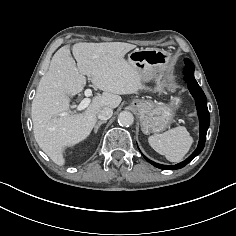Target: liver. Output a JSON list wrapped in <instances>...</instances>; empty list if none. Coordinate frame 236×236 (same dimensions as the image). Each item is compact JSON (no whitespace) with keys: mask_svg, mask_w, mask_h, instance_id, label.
<instances>
[{"mask_svg":"<svg viewBox=\"0 0 236 236\" xmlns=\"http://www.w3.org/2000/svg\"><path fill=\"white\" fill-rule=\"evenodd\" d=\"M135 47L124 42H79L72 47L77 66L69 46L54 54L31 109L35 140L54 163L63 166L65 149L90 135L100 109H114L122 101L120 95L146 89L143 74L124 59ZM85 75L103 94L93 97L84 112L73 114L69 111L70 97L84 89Z\"/></svg>","mask_w":236,"mask_h":236,"instance_id":"6515ba94","label":"liver"}]
</instances>
